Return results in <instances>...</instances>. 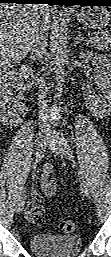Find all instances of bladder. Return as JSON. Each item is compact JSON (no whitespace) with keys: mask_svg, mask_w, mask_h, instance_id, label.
Returning a JSON list of instances; mask_svg holds the SVG:
<instances>
[{"mask_svg":"<svg viewBox=\"0 0 111 257\" xmlns=\"http://www.w3.org/2000/svg\"><path fill=\"white\" fill-rule=\"evenodd\" d=\"M31 251L39 257H74L82 249L78 235L34 234L29 242Z\"/></svg>","mask_w":111,"mask_h":257,"instance_id":"31cf9c89","label":"bladder"}]
</instances>
